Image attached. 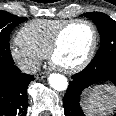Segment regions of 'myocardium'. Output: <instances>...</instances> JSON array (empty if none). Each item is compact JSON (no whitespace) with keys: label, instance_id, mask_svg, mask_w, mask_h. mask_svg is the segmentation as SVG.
<instances>
[{"label":"myocardium","instance_id":"f54148a6","mask_svg":"<svg viewBox=\"0 0 116 116\" xmlns=\"http://www.w3.org/2000/svg\"><path fill=\"white\" fill-rule=\"evenodd\" d=\"M77 23H83L90 27V29L92 31V43H91L90 49H89L88 53L86 54L85 58L80 63H78L72 67H61L54 62V55L60 46L62 36H63L64 32L66 31V29L68 27H70L71 25H74ZM97 46H98V31H97V28L94 25V23L88 19H83V18L71 19V20H67L65 23H63L58 28V30L55 32V34L52 38L51 44L48 48L46 57H47L50 65L53 68L59 70L62 73H65V74H73V73H77V72L83 70L90 64V62L92 61V59L94 58V55L96 53Z\"/></svg>","mask_w":116,"mask_h":116}]
</instances>
